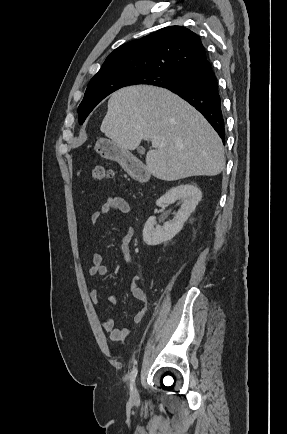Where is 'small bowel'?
<instances>
[{
	"instance_id": "1",
	"label": "small bowel",
	"mask_w": 287,
	"mask_h": 434,
	"mask_svg": "<svg viewBox=\"0 0 287 434\" xmlns=\"http://www.w3.org/2000/svg\"><path fill=\"white\" fill-rule=\"evenodd\" d=\"M110 211H116L124 216H128L131 212L130 205L123 198L118 196H110L102 206L97 209L91 215V222L93 224H98L100 220ZM133 240V229L128 226L122 239H121V250L123 254L124 264L127 267L130 262V247ZM89 274L91 276H107L109 274V268L103 263V258L100 253H93L92 255V266L89 269ZM131 295L141 303L140 309L134 315V323L140 324L146 315L147 311V299L146 294L142 287L139 285L138 277L132 279L130 285ZM90 300L95 305L100 303V296L97 290H92L89 294ZM110 303L115 302V297H108ZM102 328L109 333V337L113 341L124 340L131 332L130 328H120L115 326L114 319L111 317H106L101 321Z\"/></svg>"
}]
</instances>
